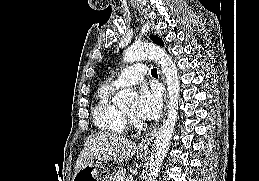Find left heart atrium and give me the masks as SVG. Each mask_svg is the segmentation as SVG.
<instances>
[{"mask_svg": "<svg viewBox=\"0 0 259 181\" xmlns=\"http://www.w3.org/2000/svg\"><path fill=\"white\" fill-rule=\"evenodd\" d=\"M162 106L161 93L156 87H141L135 104V113L138 118L148 121L156 118Z\"/></svg>", "mask_w": 259, "mask_h": 181, "instance_id": "1", "label": "left heart atrium"}]
</instances>
